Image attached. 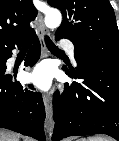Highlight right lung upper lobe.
Segmentation results:
<instances>
[{"instance_id":"right-lung-upper-lobe-1","label":"right lung upper lobe","mask_w":119,"mask_h":141,"mask_svg":"<svg viewBox=\"0 0 119 141\" xmlns=\"http://www.w3.org/2000/svg\"><path fill=\"white\" fill-rule=\"evenodd\" d=\"M37 16L32 0H0V54L22 44L33 33Z\"/></svg>"}]
</instances>
